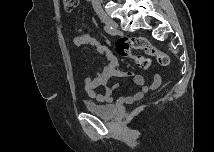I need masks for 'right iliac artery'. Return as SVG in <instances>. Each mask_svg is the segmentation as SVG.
<instances>
[{"label":"right iliac artery","mask_w":215,"mask_h":152,"mask_svg":"<svg viewBox=\"0 0 215 152\" xmlns=\"http://www.w3.org/2000/svg\"><path fill=\"white\" fill-rule=\"evenodd\" d=\"M104 30L106 33H108L110 35H115V31L109 26H104Z\"/></svg>","instance_id":"1"}]
</instances>
